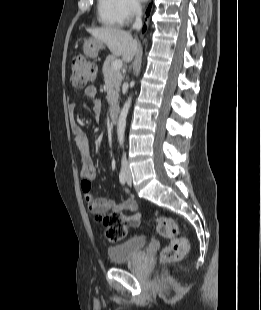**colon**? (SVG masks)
<instances>
[{"label":"colon","mask_w":261,"mask_h":310,"mask_svg":"<svg viewBox=\"0 0 261 310\" xmlns=\"http://www.w3.org/2000/svg\"><path fill=\"white\" fill-rule=\"evenodd\" d=\"M71 83L76 88L85 87L96 76V66L82 55H75L70 60ZM106 227V237L111 242L121 240L126 235L127 227H137L142 219L140 214H135L133 219L120 213H111L100 217ZM157 232L169 240L168 245L161 253L164 263L180 260L188 251V241L180 235L177 222L167 216H158L154 219Z\"/></svg>","instance_id":"obj_1"}]
</instances>
